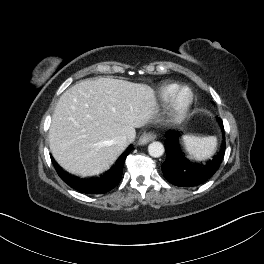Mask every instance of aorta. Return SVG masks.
Listing matches in <instances>:
<instances>
[{"instance_id":"762f6f07","label":"aorta","mask_w":264,"mask_h":264,"mask_svg":"<svg viewBox=\"0 0 264 264\" xmlns=\"http://www.w3.org/2000/svg\"><path fill=\"white\" fill-rule=\"evenodd\" d=\"M149 155L155 158L161 157L164 154V146L161 142L155 141L148 146Z\"/></svg>"}]
</instances>
